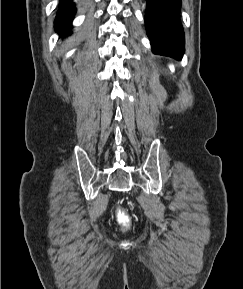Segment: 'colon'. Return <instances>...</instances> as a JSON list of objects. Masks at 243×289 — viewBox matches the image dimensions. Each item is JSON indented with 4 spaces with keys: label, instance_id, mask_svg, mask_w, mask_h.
Instances as JSON below:
<instances>
[{
    "label": "colon",
    "instance_id": "obj_1",
    "mask_svg": "<svg viewBox=\"0 0 243 289\" xmlns=\"http://www.w3.org/2000/svg\"><path fill=\"white\" fill-rule=\"evenodd\" d=\"M116 217H117V221L124 229L129 228L131 220H130L129 215L124 209L120 207H116Z\"/></svg>",
    "mask_w": 243,
    "mask_h": 289
}]
</instances>
